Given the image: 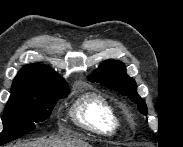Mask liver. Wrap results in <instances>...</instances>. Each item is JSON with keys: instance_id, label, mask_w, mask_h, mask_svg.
Masks as SVG:
<instances>
[{"instance_id": "liver-1", "label": "liver", "mask_w": 183, "mask_h": 147, "mask_svg": "<svg viewBox=\"0 0 183 147\" xmlns=\"http://www.w3.org/2000/svg\"><path fill=\"white\" fill-rule=\"evenodd\" d=\"M15 147H91V145L77 137H65L26 141L16 144Z\"/></svg>"}]
</instances>
